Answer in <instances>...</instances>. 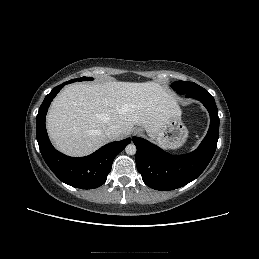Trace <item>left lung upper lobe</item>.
<instances>
[{
    "label": "left lung upper lobe",
    "instance_id": "obj_1",
    "mask_svg": "<svg viewBox=\"0 0 259 259\" xmlns=\"http://www.w3.org/2000/svg\"><path fill=\"white\" fill-rule=\"evenodd\" d=\"M171 87L178 93V94H190L195 92H203L205 91L204 88L197 85L194 82L188 81H176L171 84Z\"/></svg>",
    "mask_w": 259,
    "mask_h": 259
}]
</instances>
